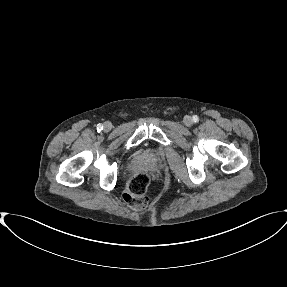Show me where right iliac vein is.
<instances>
[{
	"instance_id": "1",
	"label": "right iliac vein",
	"mask_w": 287,
	"mask_h": 287,
	"mask_svg": "<svg viewBox=\"0 0 287 287\" xmlns=\"http://www.w3.org/2000/svg\"><path fill=\"white\" fill-rule=\"evenodd\" d=\"M104 129H105V130L111 129V124H110L109 122H105V123H104Z\"/></svg>"
}]
</instances>
